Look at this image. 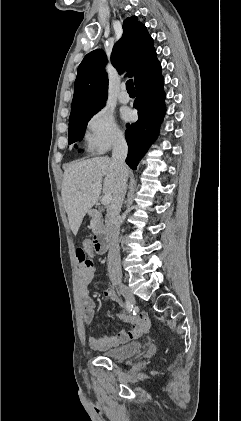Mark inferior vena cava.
<instances>
[{
  "instance_id": "obj_1",
  "label": "inferior vena cava",
  "mask_w": 241,
  "mask_h": 421,
  "mask_svg": "<svg viewBox=\"0 0 241 421\" xmlns=\"http://www.w3.org/2000/svg\"><path fill=\"white\" fill-rule=\"evenodd\" d=\"M127 152L126 140L123 137L118 138L112 150V162L118 173V180L105 218L109 241L108 273L111 278H121L122 276L118 237L120 228L119 213L127 190L128 167L125 163Z\"/></svg>"
}]
</instances>
